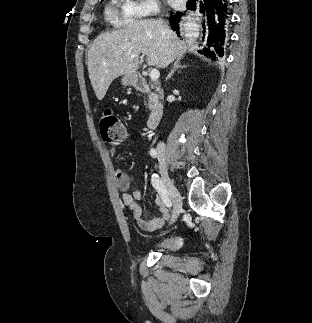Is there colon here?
I'll return each instance as SVG.
<instances>
[{
  "mask_svg": "<svg viewBox=\"0 0 312 323\" xmlns=\"http://www.w3.org/2000/svg\"><path fill=\"white\" fill-rule=\"evenodd\" d=\"M100 128L102 138L106 143L118 142L125 138V124L112 113H105L102 115Z\"/></svg>",
  "mask_w": 312,
  "mask_h": 323,
  "instance_id": "1",
  "label": "colon"
}]
</instances>
